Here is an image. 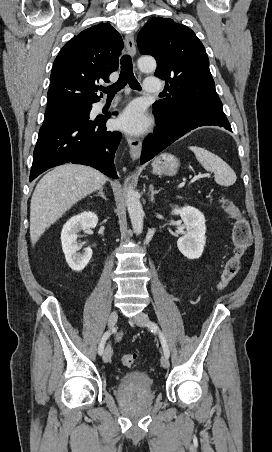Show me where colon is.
Masks as SVG:
<instances>
[{
    "label": "colon",
    "instance_id": "colon-1",
    "mask_svg": "<svg viewBox=\"0 0 272 452\" xmlns=\"http://www.w3.org/2000/svg\"><path fill=\"white\" fill-rule=\"evenodd\" d=\"M220 203L224 212L234 221L232 229V255L227 260L217 285V289L222 291L228 287L241 269L242 260L251 244V232L248 220L231 200L221 197ZM136 359L137 356L135 354H124L121 356V363L125 367L130 368L135 366Z\"/></svg>",
    "mask_w": 272,
    "mask_h": 452
}]
</instances>
